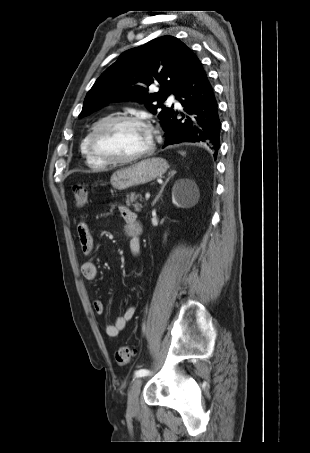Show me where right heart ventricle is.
<instances>
[{"instance_id": "right-heart-ventricle-1", "label": "right heart ventricle", "mask_w": 310, "mask_h": 453, "mask_svg": "<svg viewBox=\"0 0 310 453\" xmlns=\"http://www.w3.org/2000/svg\"><path fill=\"white\" fill-rule=\"evenodd\" d=\"M103 119H105V118L99 119L90 127V129L86 132V134L84 135V137L82 138L81 143H80V151H81L83 157L85 158V162L88 167L93 168V169L103 168V167L107 166V164L99 161L92 155V153L89 149V145H88L89 136H90L93 128Z\"/></svg>"}]
</instances>
